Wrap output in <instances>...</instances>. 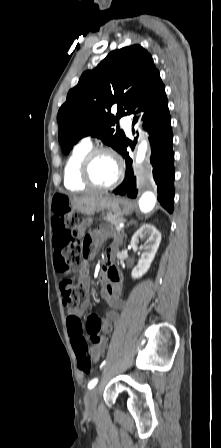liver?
Returning a JSON list of instances; mask_svg holds the SVG:
<instances>
[{
    "label": "liver",
    "mask_w": 221,
    "mask_h": 448,
    "mask_svg": "<svg viewBox=\"0 0 221 448\" xmlns=\"http://www.w3.org/2000/svg\"><path fill=\"white\" fill-rule=\"evenodd\" d=\"M103 193H90L75 199V202H85Z\"/></svg>",
    "instance_id": "1"
}]
</instances>
